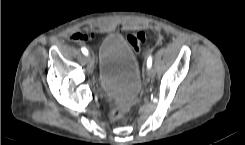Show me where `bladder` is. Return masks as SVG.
Masks as SVG:
<instances>
[{"instance_id":"bladder-1","label":"bladder","mask_w":245,"mask_h":145,"mask_svg":"<svg viewBox=\"0 0 245 145\" xmlns=\"http://www.w3.org/2000/svg\"><path fill=\"white\" fill-rule=\"evenodd\" d=\"M98 76L103 91L114 99L135 98L141 72L135 51L120 33L109 35L99 49Z\"/></svg>"}]
</instances>
